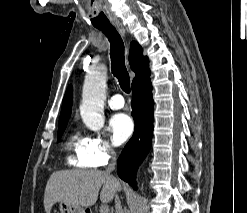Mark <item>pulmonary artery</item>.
I'll return each instance as SVG.
<instances>
[{
	"instance_id": "1",
	"label": "pulmonary artery",
	"mask_w": 247,
	"mask_h": 213,
	"mask_svg": "<svg viewBox=\"0 0 247 213\" xmlns=\"http://www.w3.org/2000/svg\"><path fill=\"white\" fill-rule=\"evenodd\" d=\"M125 101L122 95L116 94L108 100V107L113 110H118L124 107Z\"/></svg>"
}]
</instances>
